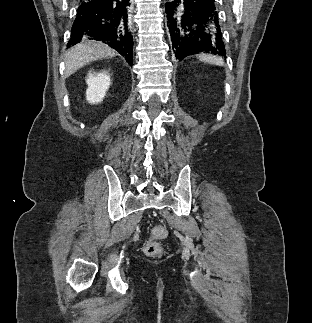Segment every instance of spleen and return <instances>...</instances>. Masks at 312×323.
<instances>
[{
	"instance_id": "spleen-1",
	"label": "spleen",
	"mask_w": 312,
	"mask_h": 323,
	"mask_svg": "<svg viewBox=\"0 0 312 323\" xmlns=\"http://www.w3.org/2000/svg\"><path fill=\"white\" fill-rule=\"evenodd\" d=\"M201 62H208V64H215V66H223V60H219L216 56H211V54H200L199 56Z\"/></svg>"
}]
</instances>
